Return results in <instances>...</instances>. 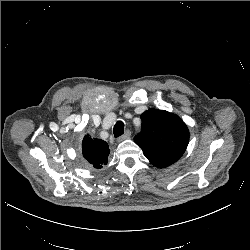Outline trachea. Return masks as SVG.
I'll use <instances>...</instances> for the list:
<instances>
[{"mask_svg": "<svg viewBox=\"0 0 250 250\" xmlns=\"http://www.w3.org/2000/svg\"><path fill=\"white\" fill-rule=\"evenodd\" d=\"M114 136L117 138L124 133V123L122 121H118L113 129Z\"/></svg>", "mask_w": 250, "mask_h": 250, "instance_id": "1", "label": "trachea"}]
</instances>
